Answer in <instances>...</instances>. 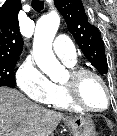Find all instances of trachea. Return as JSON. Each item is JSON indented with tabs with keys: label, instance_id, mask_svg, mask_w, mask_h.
Wrapping results in <instances>:
<instances>
[{
	"label": "trachea",
	"instance_id": "trachea-1",
	"mask_svg": "<svg viewBox=\"0 0 117 136\" xmlns=\"http://www.w3.org/2000/svg\"><path fill=\"white\" fill-rule=\"evenodd\" d=\"M31 5H32V8L34 9V11H36V12H40L44 8V2L41 0H32Z\"/></svg>",
	"mask_w": 117,
	"mask_h": 136
}]
</instances>
